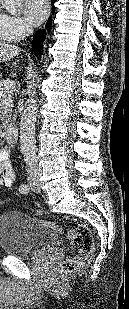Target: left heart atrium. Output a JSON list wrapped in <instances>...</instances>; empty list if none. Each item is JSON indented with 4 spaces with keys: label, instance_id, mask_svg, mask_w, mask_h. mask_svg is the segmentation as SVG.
<instances>
[{
    "label": "left heart atrium",
    "instance_id": "left-heart-atrium-1",
    "mask_svg": "<svg viewBox=\"0 0 129 309\" xmlns=\"http://www.w3.org/2000/svg\"><path fill=\"white\" fill-rule=\"evenodd\" d=\"M49 11L48 0H26L24 14L31 25H39L46 18Z\"/></svg>",
    "mask_w": 129,
    "mask_h": 309
}]
</instances>
